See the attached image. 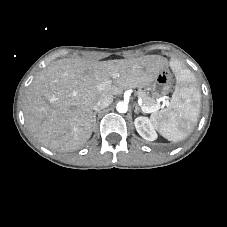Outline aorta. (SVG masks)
Listing matches in <instances>:
<instances>
[{"label": "aorta", "instance_id": "obj_1", "mask_svg": "<svg viewBox=\"0 0 227 227\" xmlns=\"http://www.w3.org/2000/svg\"><path fill=\"white\" fill-rule=\"evenodd\" d=\"M116 110L119 113H126L128 111V104L125 102H118L116 105Z\"/></svg>", "mask_w": 227, "mask_h": 227}]
</instances>
